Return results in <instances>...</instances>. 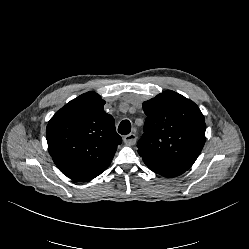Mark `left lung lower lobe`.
<instances>
[{"instance_id": "0a47b994", "label": "left lung lower lobe", "mask_w": 249, "mask_h": 249, "mask_svg": "<svg viewBox=\"0 0 249 249\" xmlns=\"http://www.w3.org/2000/svg\"><path fill=\"white\" fill-rule=\"evenodd\" d=\"M147 166L155 173L160 174L165 177H174L185 172V171H181V170H177V169H173V168L161 165L159 163H152V164H148Z\"/></svg>"}]
</instances>
